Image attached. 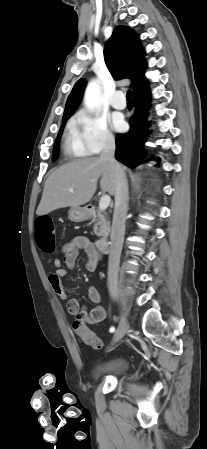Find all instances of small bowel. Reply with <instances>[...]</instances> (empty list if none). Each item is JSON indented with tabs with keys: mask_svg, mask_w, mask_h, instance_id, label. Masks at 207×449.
Masks as SVG:
<instances>
[{
	"mask_svg": "<svg viewBox=\"0 0 207 449\" xmlns=\"http://www.w3.org/2000/svg\"><path fill=\"white\" fill-rule=\"evenodd\" d=\"M80 251H84L86 255L85 267L88 271L94 272L99 266L101 255L87 236L77 235L66 242L62 247L63 257L54 259L55 271L49 277L53 292L61 299H66L71 293V290L65 286L63 279L68 274V270L75 267ZM87 296L89 301L95 305L90 311L81 308L78 300L70 299L66 306L68 313L89 324L103 321L106 318V311L99 305L101 297L97 288L90 286Z\"/></svg>",
	"mask_w": 207,
	"mask_h": 449,
	"instance_id": "c3829d8e",
	"label": "small bowel"
}]
</instances>
